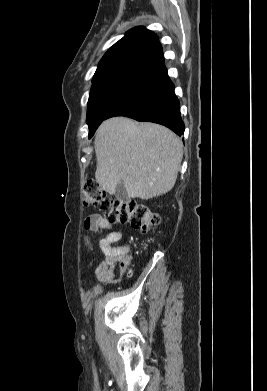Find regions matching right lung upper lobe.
Instances as JSON below:
<instances>
[{
    "label": "right lung upper lobe",
    "instance_id": "obj_1",
    "mask_svg": "<svg viewBox=\"0 0 267 391\" xmlns=\"http://www.w3.org/2000/svg\"><path fill=\"white\" fill-rule=\"evenodd\" d=\"M165 69L157 35L144 27H135L105 53L93 80L119 73L154 77Z\"/></svg>",
    "mask_w": 267,
    "mask_h": 391
}]
</instances>
